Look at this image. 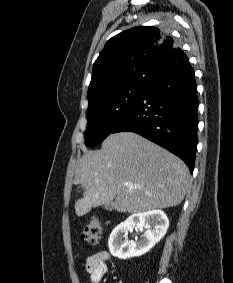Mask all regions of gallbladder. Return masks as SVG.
<instances>
[{
    "label": "gallbladder",
    "instance_id": "1",
    "mask_svg": "<svg viewBox=\"0 0 233 283\" xmlns=\"http://www.w3.org/2000/svg\"><path fill=\"white\" fill-rule=\"evenodd\" d=\"M113 203H114V201H111L109 204H106V205H105V208H106L107 210H112V209H113Z\"/></svg>",
    "mask_w": 233,
    "mask_h": 283
}]
</instances>
